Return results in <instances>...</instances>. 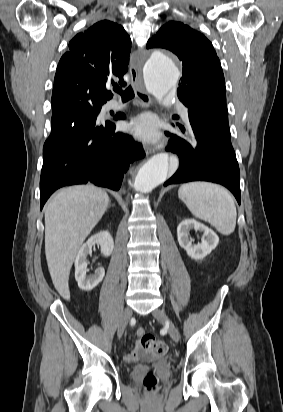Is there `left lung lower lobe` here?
Wrapping results in <instances>:
<instances>
[{"instance_id": "1", "label": "left lung lower lobe", "mask_w": 283, "mask_h": 412, "mask_svg": "<svg viewBox=\"0 0 283 412\" xmlns=\"http://www.w3.org/2000/svg\"><path fill=\"white\" fill-rule=\"evenodd\" d=\"M183 137H170L168 151L179 157V169L164 186L189 181H210L227 187L240 204V171L230 136L214 133L189 116V129Z\"/></svg>"}]
</instances>
